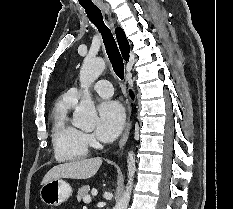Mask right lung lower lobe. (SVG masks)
Returning a JSON list of instances; mask_svg holds the SVG:
<instances>
[{"mask_svg":"<svg viewBox=\"0 0 233 209\" xmlns=\"http://www.w3.org/2000/svg\"><path fill=\"white\" fill-rule=\"evenodd\" d=\"M130 96L133 97V93L132 92H130Z\"/></svg>","mask_w":233,"mask_h":209,"instance_id":"1","label":"right lung lower lobe"}]
</instances>
